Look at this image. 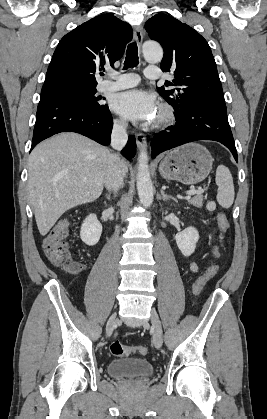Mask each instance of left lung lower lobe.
<instances>
[{"mask_svg": "<svg viewBox=\"0 0 267 419\" xmlns=\"http://www.w3.org/2000/svg\"><path fill=\"white\" fill-rule=\"evenodd\" d=\"M175 126L157 133L151 141L152 158L171 148L197 140H214L225 145L238 161L225 104L197 105L175 115Z\"/></svg>", "mask_w": 267, "mask_h": 419, "instance_id": "obj_1", "label": "left lung lower lobe"}]
</instances>
